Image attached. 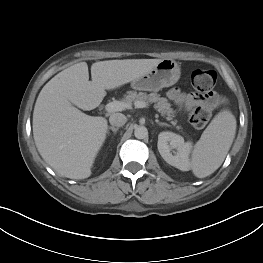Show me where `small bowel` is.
<instances>
[{"label":"small bowel","instance_id":"small-bowel-1","mask_svg":"<svg viewBox=\"0 0 263 263\" xmlns=\"http://www.w3.org/2000/svg\"><path fill=\"white\" fill-rule=\"evenodd\" d=\"M168 97L183 109H190L195 105L205 102L199 95L195 93H184L178 88L171 89L168 92Z\"/></svg>","mask_w":263,"mask_h":263}]
</instances>
